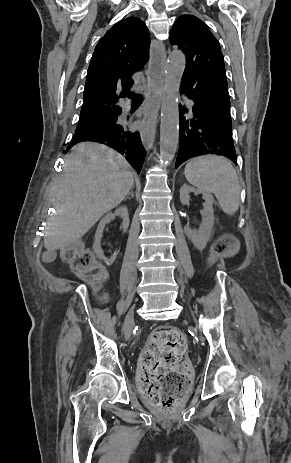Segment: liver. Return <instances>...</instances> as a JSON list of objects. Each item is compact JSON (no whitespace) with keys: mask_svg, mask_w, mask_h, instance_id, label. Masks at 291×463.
<instances>
[{"mask_svg":"<svg viewBox=\"0 0 291 463\" xmlns=\"http://www.w3.org/2000/svg\"><path fill=\"white\" fill-rule=\"evenodd\" d=\"M133 184L130 165L113 149L92 142L73 147L65 158L63 174L51 188L57 214L45 230L48 252L79 240L123 201Z\"/></svg>","mask_w":291,"mask_h":463,"instance_id":"6515ba94","label":"liver"}]
</instances>
